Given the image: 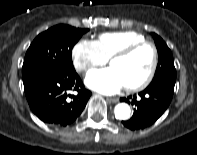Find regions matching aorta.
<instances>
[{"mask_svg":"<svg viewBox=\"0 0 197 155\" xmlns=\"http://www.w3.org/2000/svg\"><path fill=\"white\" fill-rule=\"evenodd\" d=\"M115 117L119 120H127L130 117L131 109L126 103H120L115 106Z\"/></svg>","mask_w":197,"mask_h":155,"instance_id":"1","label":"aorta"}]
</instances>
